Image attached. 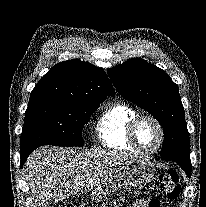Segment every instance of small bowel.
Returning <instances> with one entry per match:
<instances>
[{"label": "small bowel", "mask_w": 206, "mask_h": 207, "mask_svg": "<svg viewBox=\"0 0 206 207\" xmlns=\"http://www.w3.org/2000/svg\"><path fill=\"white\" fill-rule=\"evenodd\" d=\"M134 207H147L146 200H140L134 203Z\"/></svg>", "instance_id": "c3829d8e"}]
</instances>
